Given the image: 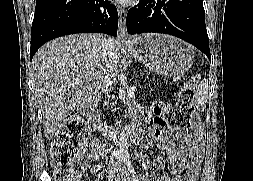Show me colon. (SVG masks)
<instances>
[{
    "mask_svg": "<svg viewBox=\"0 0 253 181\" xmlns=\"http://www.w3.org/2000/svg\"><path fill=\"white\" fill-rule=\"evenodd\" d=\"M196 87L188 82L178 93L172 111V124L180 131H189L195 124L193 113ZM88 139L84 121L73 116L59 129L51 146V159L56 181H78L82 175V156ZM177 180V178H176Z\"/></svg>",
    "mask_w": 253,
    "mask_h": 181,
    "instance_id": "obj_1",
    "label": "colon"
}]
</instances>
